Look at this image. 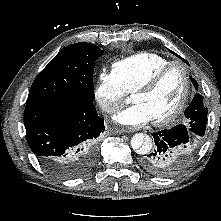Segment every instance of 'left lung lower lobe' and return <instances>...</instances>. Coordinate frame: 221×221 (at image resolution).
<instances>
[{"label":"left lung lower lobe","instance_id":"1","mask_svg":"<svg viewBox=\"0 0 221 221\" xmlns=\"http://www.w3.org/2000/svg\"><path fill=\"white\" fill-rule=\"evenodd\" d=\"M152 136L154 149L140 159V164L149 173L160 177L173 176L184 170L201 141L183 124L152 133Z\"/></svg>","mask_w":221,"mask_h":221}]
</instances>
